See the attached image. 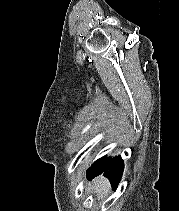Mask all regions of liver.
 Returning <instances> with one entry per match:
<instances>
[{"label": "liver", "mask_w": 179, "mask_h": 211, "mask_svg": "<svg viewBox=\"0 0 179 211\" xmlns=\"http://www.w3.org/2000/svg\"><path fill=\"white\" fill-rule=\"evenodd\" d=\"M110 188L109 181L100 176L93 181V190L98 197L105 195Z\"/></svg>", "instance_id": "obj_1"}]
</instances>
